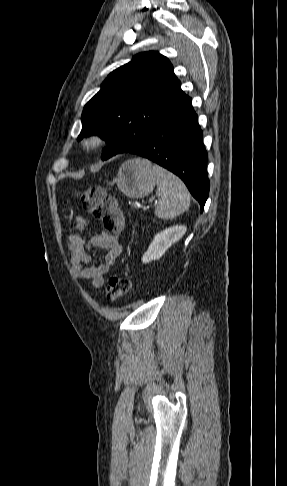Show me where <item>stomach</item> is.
Listing matches in <instances>:
<instances>
[{"label":"stomach","instance_id":"obj_1","mask_svg":"<svg viewBox=\"0 0 287 486\" xmlns=\"http://www.w3.org/2000/svg\"><path fill=\"white\" fill-rule=\"evenodd\" d=\"M156 180L157 174L152 164L146 159L134 158L122 163L116 184L124 195L138 199L153 191Z\"/></svg>","mask_w":287,"mask_h":486}]
</instances>
